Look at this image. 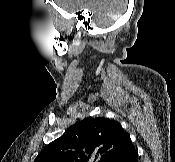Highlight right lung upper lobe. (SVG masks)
<instances>
[{
	"label": "right lung upper lobe",
	"instance_id": "cb5924a9",
	"mask_svg": "<svg viewBox=\"0 0 175 162\" xmlns=\"http://www.w3.org/2000/svg\"><path fill=\"white\" fill-rule=\"evenodd\" d=\"M132 146L119 122L89 117L46 146L34 162H112Z\"/></svg>",
	"mask_w": 175,
	"mask_h": 162
}]
</instances>
